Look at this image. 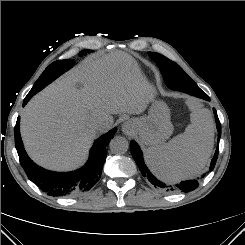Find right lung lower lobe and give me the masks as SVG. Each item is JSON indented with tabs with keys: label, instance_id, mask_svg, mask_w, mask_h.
Returning <instances> with one entry per match:
<instances>
[{
	"label": "right lung lower lobe",
	"instance_id": "98d812e1",
	"mask_svg": "<svg viewBox=\"0 0 245 245\" xmlns=\"http://www.w3.org/2000/svg\"><path fill=\"white\" fill-rule=\"evenodd\" d=\"M34 94H28L24 99L25 105ZM20 117H18L14 135L15 146L21 166L28 178L43 191L51 196H72L89 190L101 177V170L106 159V147L114 137L116 128L97 139L90 150V157L86 165L76 171L59 173L45 170L37 166L27 155L19 131Z\"/></svg>",
	"mask_w": 245,
	"mask_h": 245
}]
</instances>
